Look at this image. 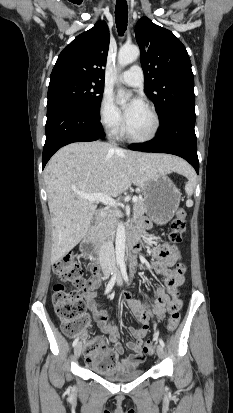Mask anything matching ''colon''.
<instances>
[{
  "label": "colon",
  "mask_w": 233,
  "mask_h": 413,
  "mask_svg": "<svg viewBox=\"0 0 233 413\" xmlns=\"http://www.w3.org/2000/svg\"><path fill=\"white\" fill-rule=\"evenodd\" d=\"M186 209L177 210L175 218L171 223L169 240L172 243V249L177 251L176 245L182 241V234L186 228ZM97 267L90 265L89 272H95ZM53 273L59 279V283L54 285L53 305L58 320L61 324L62 331L68 336H74L79 330L89 323V317L86 313L87 305L81 294L86 290L91 280L83 278L84 270L78 258L68 253L58 259L53 265ZM69 285L70 287H68ZM180 307L172 308L170 317L167 322V331L174 332L180 322ZM146 354L153 352V346L147 341L143 347ZM87 362L89 365L102 374H113L117 372L116 354L107 346L104 338L87 340L85 346Z\"/></svg>",
  "instance_id": "5ec220e1"
}]
</instances>
